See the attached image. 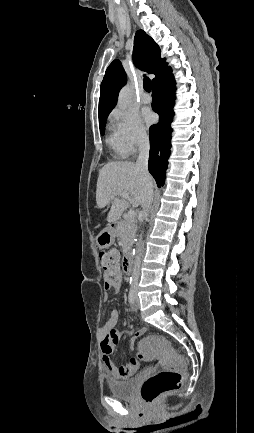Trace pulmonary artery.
<instances>
[{"label": "pulmonary artery", "instance_id": "e3ab8cb5", "mask_svg": "<svg viewBox=\"0 0 254 433\" xmlns=\"http://www.w3.org/2000/svg\"><path fill=\"white\" fill-rule=\"evenodd\" d=\"M141 102L143 104H149L151 102V97L147 93L141 95Z\"/></svg>", "mask_w": 254, "mask_h": 433}]
</instances>
